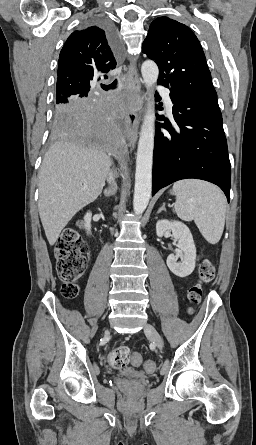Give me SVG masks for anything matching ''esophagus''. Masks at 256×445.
Returning <instances> with one entry per match:
<instances>
[{
	"label": "esophagus",
	"instance_id": "34e87169",
	"mask_svg": "<svg viewBox=\"0 0 256 445\" xmlns=\"http://www.w3.org/2000/svg\"><path fill=\"white\" fill-rule=\"evenodd\" d=\"M133 59L128 66L125 76V88L127 90L128 113L125 119L124 132L128 142L134 149L140 124V113L142 111L144 97L141 94L140 78Z\"/></svg>",
	"mask_w": 256,
	"mask_h": 445
}]
</instances>
